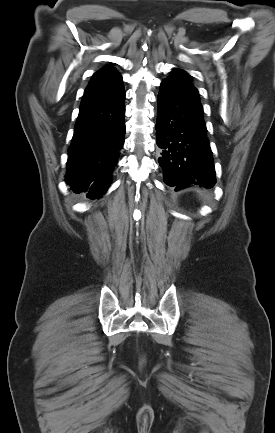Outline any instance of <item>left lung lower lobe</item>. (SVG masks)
Instances as JSON below:
<instances>
[{"label": "left lung lower lobe", "instance_id": "0a47b994", "mask_svg": "<svg viewBox=\"0 0 275 433\" xmlns=\"http://www.w3.org/2000/svg\"><path fill=\"white\" fill-rule=\"evenodd\" d=\"M157 104L156 143L165 183L175 190L190 184L213 187L215 167L197 89L168 77L160 85Z\"/></svg>", "mask_w": 275, "mask_h": 433}]
</instances>
